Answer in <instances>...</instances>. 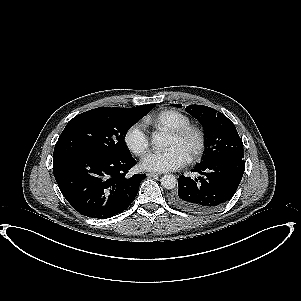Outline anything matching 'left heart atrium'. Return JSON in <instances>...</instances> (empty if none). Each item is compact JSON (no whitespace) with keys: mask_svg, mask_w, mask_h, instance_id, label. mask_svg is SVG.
I'll return each instance as SVG.
<instances>
[{"mask_svg":"<svg viewBox=\"0 0 301 301\" xmlns=\"http://www.w3.org/2000/svg\"><path fill=\"white\" fill-rule=\"evenodd\" d=\"M184 161V156H181L175 150L164 149L147 154L142 162V166L148 171L167 172L180 168Z\"/></svg>","mask_w":301,"mask_h":301,"instance_id":"obj_1","label":"left heart atrium"}]
</instances>
